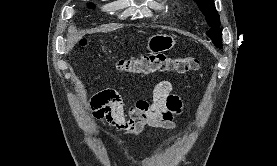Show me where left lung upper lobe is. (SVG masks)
Here are the masks:
<instances>
[{
  "label": "left lung upper lobe",
  "mask_w": 277,
  "mask_h": 166,
  "mask_svg": "<svg viewBox=\"0 0 277 166\" xmlns=\"http://www.w3.org/2000/svg\"><path fill=\"white\" fill-rule=\"evenodd\" d=\"M199 9L205 15L206 20L211 26L210 30L207 31V35L211 38L213 43L222 48V29L219 27V15L215 9L213 0H194Z\"/></svg>",
  "instance_id": "obj_1"
}]
</instances>
